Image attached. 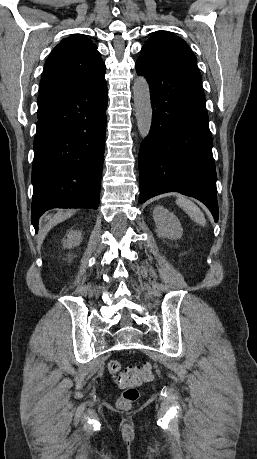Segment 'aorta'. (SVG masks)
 <instances>
[{
	"mask_svg": "<svg viewBox=\"0 0 257 459\" xmlns=\"http://www.w3.org/2000/svg\"><path fill=\"white\" fill-rule=\"evenodd\" d=\"M133 100L139 134L144 139L151 129L152 106L149 85L143 76H138L134 81Z\"/></svg>",
	"mask_w": 257,
	"mask_h": 459,
	"instance_id": "aorta-1",
	"label": "aorta"
}]
</instances>
